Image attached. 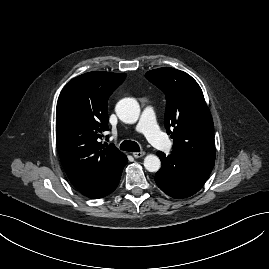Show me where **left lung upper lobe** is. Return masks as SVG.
I'll return each instance as SVG.
<instances>
[{
    "label": "left lung upper lobe",
    "instance_id": "1",
    "mask_svg": "<svg viewBox=\"0 0 269 269\" xmlns=\"http://www.w3.org/2000/svg\"><path fill=\"white\" fill-rule=\"evenodd\" d=\"M145 77L166 95L164 123L173 150L215 160L214 125L198 83L169 67L148 71Z\"/></svg>",
    "mask_w": 269,
    "mask_h": 269
}]
</instances>
